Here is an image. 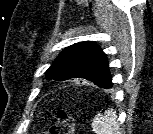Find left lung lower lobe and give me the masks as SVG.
I'll list each match as a JSON object with an SVG mask.
<instances>
[{
    "instance_id": "obj_1",
    "label": "left lung lower lobe",
    "mask_w": 153,
    "mask_h": 134,
    "mask_svg": "<svg viewBox=\"0 0 153 134\" xmlns=\"http://www.w3.org/2000/svg\"><path fill=\"white\" fill-rule=\"evenodd\" d=\"M101 88H104V89H109V87H108V86H105V87H101Z\"/></svg>"
}]
</instances>
